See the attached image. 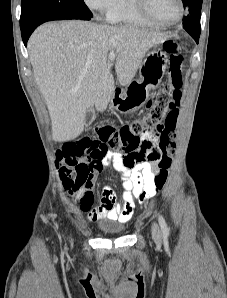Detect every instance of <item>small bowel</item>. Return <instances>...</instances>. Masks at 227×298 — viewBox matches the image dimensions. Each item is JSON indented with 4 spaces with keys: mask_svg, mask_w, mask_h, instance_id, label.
<instances>
[{
    "mask_svg": "<svg viewBox=\"0 0 227 298\" xmlns=\"http://www.w3.org/2000/svg\"><path fill=\"white\" fill-rule=\"evenodd\" d=\"M154 103V98L148 99ZM151 104H144L143 111L149 112ZM156 130H162V125H156ZM94 134H82V139L73 142H61L56 151L57 164L61 167L60 178L63 186L70 192L81 191L82 210L86 212L89 221L100 219L119 220L127 222L133 216L135 201L145 203L155 193L151 191L154 178L150 173H158V161L148 157L141 150H108L109 142H91ZM99 158V159H89ZM105 167L113 170L122 181L123 193L120 204L111 185L102 189L99 206L92 208L93 189L98 175Z\"/></svg>",
    "mask_w": 227,
    "mask_h": 298,
    "instance_id": "c3829d8e",
    "label": "small bowel"
}]
</instances>
